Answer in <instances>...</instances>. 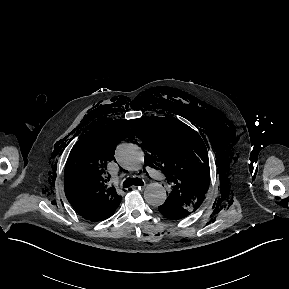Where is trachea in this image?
Wrapping results in <instances>:
<instances>
[{"label": "trachea", "mask_w": 289, "mask_h": 289, "mask_svg": "<svg viewBox=\"0 0 289 289\" xmlns=\"http://www.w3.org/2000/svg\"><path fill=\"white\" fill-rule=\"evenodd\" d=\"M132 185H135V186H141V185H144V182L142 181V179L140 178H127L124 182H123V186L125 188H128Z\"/></svg>", "instance_id": "3493384b"}]
</instances>
